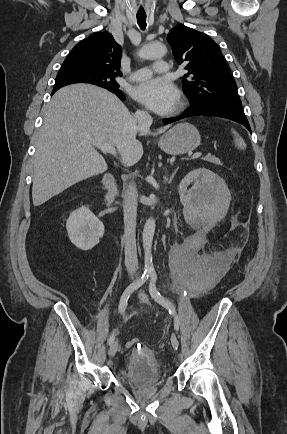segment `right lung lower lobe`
<instances>
[{"mask_svg":"<svg viewBox=\"0 0 287 434\" xmlns=\"http://www.w3.org/2000/svg\"><path fill=\"white\" fill-rule=\"evenodd\" d=\"M55 93V92H54ZM53 94V93H52ZM122 101H124L125 100V96L123 95V93L122 92H120V93H115Z\"/></svg>","mask_w":287,"mask_h":434,"instance_id":"1","label":"right lung lower lobe"}]
</instances>
